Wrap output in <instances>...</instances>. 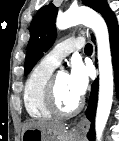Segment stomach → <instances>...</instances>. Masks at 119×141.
<instances>
[{
  "mask_svg": "<svg viewBox=\"0 0 119 141\" xmlns=\"http://www.w3.org/2000/svg\"><path fill=\"white\" fill-rule=\"evenodd\" d=\"M21 141H81L80 137L71 131L49 132L30 128L22 133Z\"/></svg>",
  "mask_w": 119,
  "mask_h": 141,
  "instance_id": "0dacf381",
  "label": "stomach"
}]
</instances>
